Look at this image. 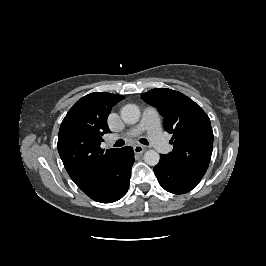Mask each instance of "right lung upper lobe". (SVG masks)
Listing matches in <instances>:
<instances>
[{
  "label": "right lung upper lobe",
  "instance_id": "1",
  "mask_svg": "<svg viewBox=\"0 0 266 266\" xmlns=\"http://www.w3.org/2000/svg\"><path fill=\"white\" fill-rule=\"evenodd\" d=\"M124 99L110 93H90L79 99L63 119L57 148L71 179L88 196L103 185L111 164L120 151L104 152L102 136L110 133L107 117L111 108Z\"/></svg>",
  "mask_w": 266,
  "mask_h": 266
}]
</instances>
